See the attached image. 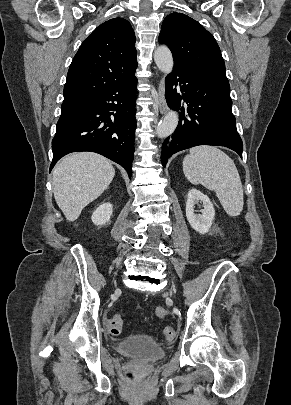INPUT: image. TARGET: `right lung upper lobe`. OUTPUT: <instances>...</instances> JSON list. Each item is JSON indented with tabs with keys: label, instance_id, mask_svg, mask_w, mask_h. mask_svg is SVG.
Here are the masks:
<instances>
[{
	"label": "right lung upper lobe",
	"instance_id": "right-lung-upper-lobe-1",
	"mask_svg": "<svg viewBox=\"0 0 291 405\" xmlns=\"http://www.w3.org/2000/svg\"><path fill=\"white\" fill-rule=\"evenodd\" d=\"M135 34L123 18L98 26L81 44L69 67L63 104L83 103L112 84L134 75Z\"/></svg>",
	"mask_w": 291,
	"mask_h": 405
}]
</instances>
